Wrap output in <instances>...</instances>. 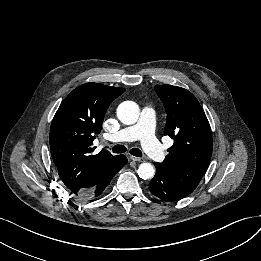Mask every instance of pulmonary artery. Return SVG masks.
Returning a JSON list of instances; mask_svg holds the SVG:
<instances>
[{"label":"pulmonary artery","mask_w":261,"mask_h":261,"mask_svg":"<svg viewBox=\"0 0 261 261\" xmlns=\"http://www.w3.org/2000/svg\"><path fill=\"white\" fill-rule=\"evenodd\" d=\"M155 110L148 105L141 111L140 121L133 125L120 130L117 133L110 134V142H131L141 140L144 150L157 162H163L165 154L159 147L155 136Z\"/></svg>","instance_id":"pulmonary-artery-1"}]
</instances>
